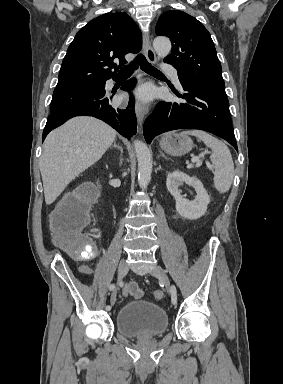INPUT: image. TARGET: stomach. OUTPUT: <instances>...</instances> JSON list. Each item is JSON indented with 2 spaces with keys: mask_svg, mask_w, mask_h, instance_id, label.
<instances>
[{
  "mask_svg": "<svg viewBox=\"0 0 283 384\" xmlns=\"http://www.w3.org/2000/svg\"><path fill=\"white\" fill-rule=\"evenodd\" d=\"M192 140L183 134H165L160 140L161 150H165L170 156H184L192 150Z\"/></svg>",
  "mask_w": 283,
  "mask_h": 384,
  "instance_id": "obj_1",
  "label": "stomach"
}]
</instances>
